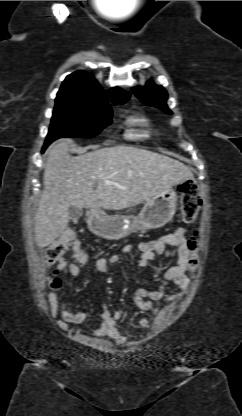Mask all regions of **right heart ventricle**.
Listing matches in <instances>:
<instances>
[{
	"mask_svg": "<svg viewBox=\"0 0 242 416\" xmlns=\"http://www.w3.org/2000/svg\"><path fill=\"white\" fill-rule=\"evenodd\" d=\"M138 121H139V122H144L145 120H144V119H139Z\"/></svg>",
	"mask_w": 242,
	"mask_h": 416,
	"instance_id": "e07e8e85",
	"label": "right heart ventricle"
}]
</instances>
